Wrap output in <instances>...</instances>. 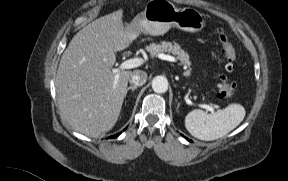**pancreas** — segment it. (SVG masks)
I'll return each mask as SVG.
<instances>
[{"mask_svg": "<svg viewBox=\"0 0 288 181\" xmlns=\"http://www.w3.org/2000/svg\"><path fill=\"white\" fill-rule=\"evenodd\" d=\"M146 50L152 57L158 56L163 52L172 53L180 61L181 65H191V62L189 61V55L177 43L172 44L171 42L166 41H163L160 44L152 43L146 47ZM189 74V70L184 73L185 76H188Z\"/></svg>", "mask_w": 288, "mask_h": 181, "instance_id": "obj_1", "label": "pancreas"}]
</instances>
